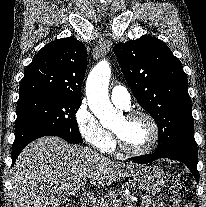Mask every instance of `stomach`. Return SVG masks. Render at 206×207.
<instances>
[{"instance_id": "0dacf381", "label": "stomach", "mask_w": 206, "mask_h": 207, "mask_svg": "<svg viewBox=\"0 0 206 207\" xmlns=\"http://www.w3.org/2000/svg\"><path fill=\"white\" fill-rule=\"evenodd\" d=\"M167 176L162 169L153 165H139L133 172L130 184L138 190L155 194L166 185Z\"/></svg>"}]
</instances>
